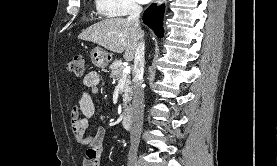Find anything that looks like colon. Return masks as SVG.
Instances as JSON below:
<instances>
[{"label": "colon", "instance_id": "colon-1", "mask_svg": "<svg viewBox=\"0 0 277 166\" xmlns=\"http://www.w3.org/2000/svg\"><path fill=\"white\" fill-rule=\"evenodd\" d=\"M68 69L76 76H82L84 74V58L81 55L74 56L69 64Z\"/></svg>", "mask_w": 277, "mask_h": 166}]
</instances>
